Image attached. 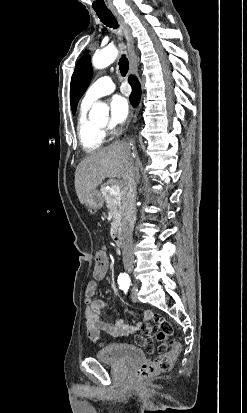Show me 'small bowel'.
I'll list each match as a JSON object with an SVG mask.
<instances>
[{
  "label": "small bowel",
  "mask_w": 247,
  "mask_h": 413,
  "mask_svg": "<svg viewBox=\"0 0 247 413\" xmlns=\"http://www.w3.org/2000/svg\"><path fill=\"white\" fill-rule=\"evenodd\" d=\"M92 281L87 283L84 292V325L89 339L97 342L102 333L119 338L127 337L139 331L134 336V347L147 349L149 355H154L156 348L151 340L155 336L154 330L171 331L173 324L165 322L163 315H154L149 310L144 311L139 320H132L130 323H126L123 318L118 319L114 324L107 322L101 310L107 308L108 303L101 299H92L97 291V283H102L104 276L102 274H94ZM141 327L143 331H140ZM159 352L163 353L164 349L160 348Z\"/></svg>",
  "instance_id": "c3829d8e"
}]
</instances>
